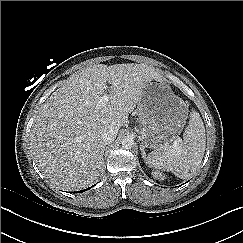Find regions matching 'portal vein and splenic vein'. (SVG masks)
I'll use <instances>...</instances> for the list:
<instances>
[{
	"instance_id": "18ae733b",
	"label": "portal vein and splenic vein",
	"mask_w": 243,
	"mask_h": 243,
	"mask_svg": "<svg viewBox=\"0 0 243 243\" xmlns=\"http://www.w3.org/2000/svg\"><path fill=\"white\" fill-rule=\"evenodd\" d=\"M108 101H109V97H108V95H107V94H104V95L101 97V99L99 100V104H98L97 107L101 108V107L106 106L107 103H108Z\"/></svg>"
}]
</instances>
